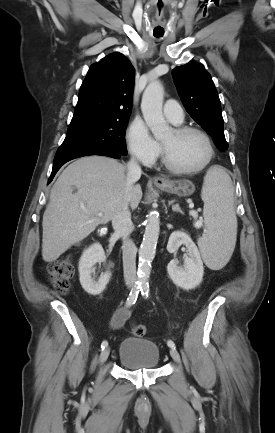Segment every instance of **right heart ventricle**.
Here are the masks:
<instances>
[{
  "label": "right heart ventricle",
  "instance_id": "1",
  "mask_svg": "<svg viewBox=\"0 0 275 433\" xmlns=\"http://www.w3.org/2000/svg\"><path fill=\"white\" fill-rule=\"evenodd\" d=\"M174 124L178 125V124H180V123H174Z\"/></svg>",
  "mask_w": 275,
  "mask_h": 433
}]
</instances>
